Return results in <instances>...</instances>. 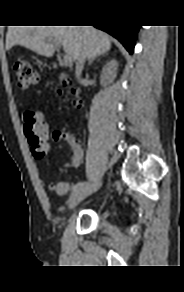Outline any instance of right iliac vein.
I'll list each match as a JSON object with an SVG mask.
<instances>
[{"label": "right iliac vein", "instance_id": "right-iliac-vein-1", "mask_svg": "<svg viewBox=\"0 0 184 292\" xmlns=\"http://www.w3.org/2000/svg\"><path fill=\"white\" fill-rule=\"evenodd\" d=\"M101 186V182H97L93 185L80 189L72 193V195L68 199V207L69 209L75 208L83 199L92 193L96 192Z\"/></svg>", "mask_w": 184, "mask_h": 292}]
</instances>
